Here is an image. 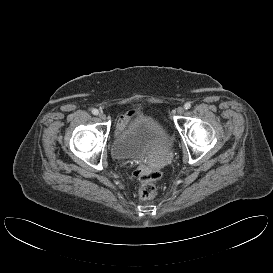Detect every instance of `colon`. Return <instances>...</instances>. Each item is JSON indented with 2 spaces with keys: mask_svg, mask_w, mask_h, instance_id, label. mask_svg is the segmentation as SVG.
<instances>
[{
  "mask_svg": "<svg viewBox=\"0 0 273 273\" xmlns=\"http://www.w3.org/2000/svg\"><path fill=\"white\" fill-rule=\"evenodd\" d=\"M161 174L158 170L142 166L138 170V178L140 186L138 188V195L142 199H152L157 194V187L155 182L160 178Z\"/></svg>",
  "mask_w": 273,
  "mask_h": 273,
  "instance_id": "obj_1",
  "label": "colon"
}]
</instances>
